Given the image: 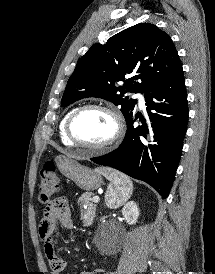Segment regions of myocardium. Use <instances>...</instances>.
<instances>
[{"label": "myocardium", "mask_w": 215, "mask_h": 274, "mask_svg": "<svg viewBox=\"0 0 215 274\" xmlns=\"http://www.w3.org/2000/svg\"><path fill=\"white\" fill-rule=\"evenodd\" d=\"M88 109L102 110V111L108 113L114 121V126H115L114 133L111 136V138H109L104 143H101L98 145L86 144V143L78 140L77 137L74 135L73 123H74L75 119L81 112L88 110ZM123 133H124V123H123V119H122L119 111L110 105L102 104V103H88V104H84V105H81V106L75 108L69 115L67 122H66V135L69 138V140L75 146H78V147H81V148H84V149H87L90 151H94V152H103V151L110 149L122 138Z\"/></svg>", "instance_id": "1"}]
</instances>
